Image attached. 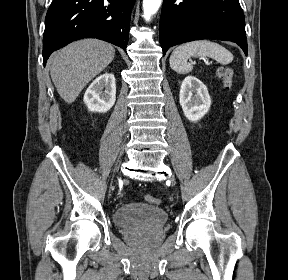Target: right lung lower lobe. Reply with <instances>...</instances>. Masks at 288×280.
I'll use <instances>...</instances> for the list:
<instances>
[{
  "label": "right lung lower lobe",
  "instance_id": "obj_1",
  "mask_svg": "<svg viewBox=\"0 0 288 280\" xmlns=\"http://www.w3.org/2000/svg\"><path fill=\"white\" fill-rule=\"evenodd\" d=\"M135 0H53L43 36V62L52 52L82 38H97L126 50Z\"/></svg>",
  "mask_w": 288,
  "mask_h": 280
}]
</instances>
